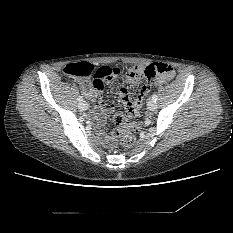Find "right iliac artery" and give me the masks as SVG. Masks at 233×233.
Returning a JSON list of instances; mask_svg holds the SVG:
<instances>
[{
	"label": "right iliac artery",
	"mask_w": 233,
	"mask_h": 233,
	"mask_svg": "<svg viewBox=\"0 0 233 233\" xmlns=\"http://www.w3.org/2000/svg\"><path fill=\"white\" fill-rule=\"evenodd\" d=\"M77 100H78L79 102H82V101H83V97H82V96H78Z\"/></svg>",
	"instance_id": "right-iliac-artery-1"
}]
</instances>
